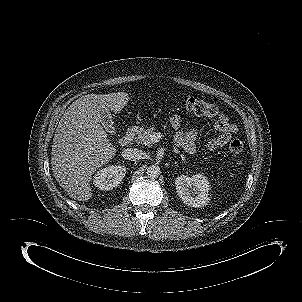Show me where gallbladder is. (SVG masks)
<instances>
[{"label":"gallbladder","mask_w":302,"mask_h":302,"mask_svg":"<svg viewBox=\"0 0 302 302\" xmlns=\"http://www.w3.org/2000/svg\"><path fill=\"white\" fill-rule=\"evenodd\" d=\"M100 114H101V123L103 124L105 129L110 133H114L115 128H114L112 116H111L109 110L106 108H103V109L101 108Z\"/></svg>","instance_id":"bac80fb5"}]
</instances>
